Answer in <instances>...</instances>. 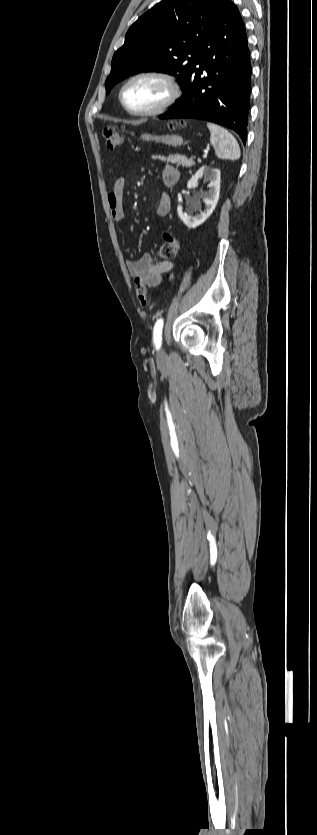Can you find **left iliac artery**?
Returning <instances> with one entry per match:
<instances>
[{
    "label": "left iliac artery",
    "mask_w": 317,
    "mask_h": 835,
    "mask_svg": "<svg viewBox=\"0 0 317 835\" xmlns=\"http://www.w3.org/2000/svg\"><path fill=\"white\" fill-rule=\"evenodd\" d=\"M162 328H163V319H159L155 323L154 331H153L154 343H155V346H156L157 349H159L160 346H161Z\"/></svg>",
    "instance_id": "1"
}]
</instances>
